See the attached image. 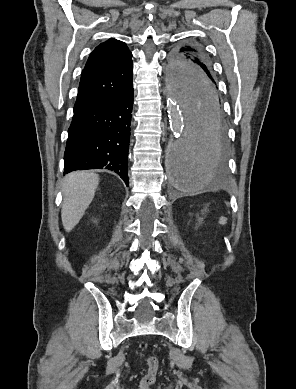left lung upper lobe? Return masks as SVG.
Wrapping results in <instances>:
<instances>
[{"label": "left lung upper lobe", "instance_id": "obj_1", "mask_svg": "<svg viewBox=\"0 0 296 389\" xmlns=\"http://www.w3.org/2000/svg\"><path fill=\"white\" fill-rule=\"evenodd\" d=\"M169 72L178 86L191 83L197 76L215 80L209 59L195 44H185L173 51Z\"/></svg>", "mask_w": 296, "mask_h": 389}]
</instances>
